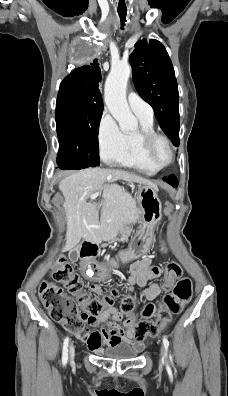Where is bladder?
<instances>
[{
    "mask_svg": "<svg viewBox=\"0 0 228 396\" xmlns=\"http://www.w3.org/2000/svg\"><path fill=\"white\" fill-rule=\"evenodd\" d=\"M140 350L128 343L111 344L101 353L102 356L116 360H131L138 356Z\"/></svg>",
    "mask_w": 228,
    "mask_h": 396,
    "instance_id": "1",
    "label": "bladder"
}]
</instances>
